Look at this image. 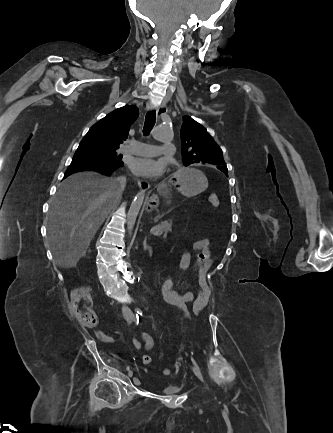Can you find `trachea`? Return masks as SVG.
<instances>
[{
  "mask_svg": "<svg viewBox=\"0 0 333 433\" xmlns=\"http://www.w3.org/2000/svg\"><path fill=\"white\" fill-rule=\"evenodd\" d=\"M155 118H156L155 110L147 112L146 117H145L144 128H143V134L144 135H148L150 133V131L152 130V128L154 127Z\"/></svg>",
  "mask_w": 333,
  "mask_h": 433,
  "instance_id": "3493384b",
  "label": "trachea"
}]
</instances>
